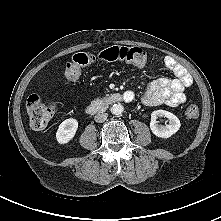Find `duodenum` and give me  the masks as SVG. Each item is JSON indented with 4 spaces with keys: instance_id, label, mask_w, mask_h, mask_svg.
<instances>
[{
    "instance_id": "410a0bca",
    "label": "duodenum",
    "mask_w": 221,
    "mask_h": 221,
    "mask_svg": "<svg viewBox=\"0 0 221 221\" xmlns=\"http://www.w3.org/2000/svg\"><path fill=\"white\" fill-rule=\"evenodd\" d=\"M133 99V95L130 92L123 94L117 93L111 96L109 101L97 100L88 105L87 109L90 113L104 112L111 102H130Z\"/></svg>"
}]
</instances>
